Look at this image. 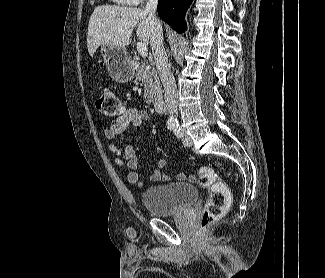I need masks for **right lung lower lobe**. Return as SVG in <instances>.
<instances>
[{"label": "right lung lower lobe", "mask_w": 325, "mask_h": 278, "mask_svg": "<svg viewBox=\"0 0 325 278\" xmlns=\"http://www.w3.org/2000/svg\"><path fill=\"white\" fill-rule=\"evenodd\" d=\"M191 2L192 0H159L157 11L163 21L168 23L175 31L181 33L186 28L183 20Z\"/></svg>", "instance_id": "right-lung-lower-lobe-1"}]
</instances>
